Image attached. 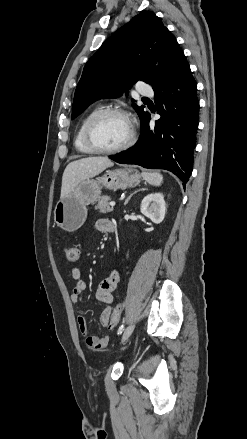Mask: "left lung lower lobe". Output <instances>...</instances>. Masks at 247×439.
I'll return each instance as SVG.
<instances>
[{
	"label": "left lung lower lobe",
	"mask_w": 247,
	"mask_h": 439,
	"mask_svg": "<svg viewBox=\"0 0 247 439\" xmlns=\"http://www.w3.org/2000/svg\"><path fill=\"white\" fill-rule=\"evenodd\" d=\"M197 84L186 58L163 85L154 89L161 118L149 127L150 114L141 120L139 141L127 151L109 158L121 164H136L144 168L165 169L187 183L193 164L196 144L199 101ZM165 105L166 110H164Z\"/></svg>",
	"instance_id": "obj_1"
}]
</instances>
